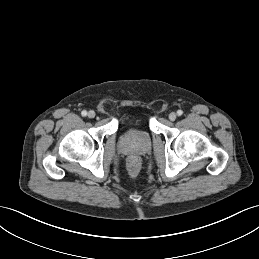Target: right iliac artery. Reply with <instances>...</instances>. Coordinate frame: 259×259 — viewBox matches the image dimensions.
<instances>
[{"instance_id": "right-iliac-artery-1", "label": "right iliac artery", "mask_w": 259, "mask_h": 259, "mask_svg": "<svg viewBox=\"0 0 259 259\" xmlns=\"http://www.w3.org/2000/svg\"><path fill=\"white\" fill-rule=\"evenodd\" d=\"M81 115L84 116V117L87 116V111L83 110V111L81 112Z\"/></svg>"}]
</instances>
